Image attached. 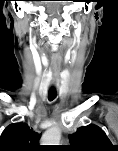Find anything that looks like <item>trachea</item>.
Instances as JSON below:
<instances>
[{
    "mask_svg": "<svg viewBox=\"0 0 118 151\" xmlns=\"http://www.w3.org/2000/svg\"><path fill=\"white\" fill-rule=\"evenodd\" d=\"M55 97H56V93H52V94H51V93H49V94H48V100H49V101L54 100V99H55Z\"/></svg>",
    "mask_w": 118,
    "mask_h": 151,
    "instance_id": "3493384b",
    "label": "trachea"
}]
</instances>
